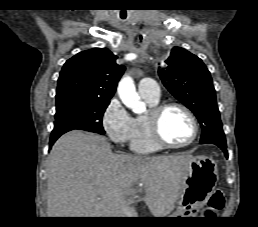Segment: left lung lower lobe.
Here are the masks:
<instances>
[{
	"label": "left lung lower lobe",
	"mask_w": 258,
	"mask_h": 227,
	"mask_svg": "<svg viewBox=\"0 0 258 227\" xmlns=\"http://www.w3.org/2000/svg\"><path fill=\"white\" fill-rule=\"evenodd\" d=\"M215 145H217L218 147H220L222 150H223V152H224V154L227 156L228 154H227V146H226V144H215Z\"/></svg>",
	"instance_id": "left-lung-lower-lobe-1"
}]
</instances>
